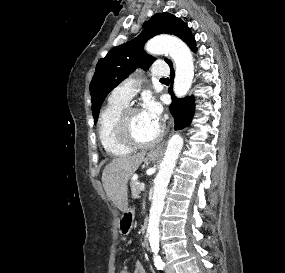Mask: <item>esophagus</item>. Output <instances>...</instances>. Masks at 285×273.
<instances>
[{
    "mask_svg": "<svg viewBox=\"0 0 285 273\" xmlns=\"http://www.w3.org/2000/svg\"><path fill=\"white\" fill-rule=\"evenodd\" d=\"M162 149V146H158L156 149L153 150V153H156V152H160Z\"/></svg>",
    "mask_w": 285,
    "mask_h": 273,
    "instance_id": "obj_1",
    "label": "esophagus"
}]
</instances>
